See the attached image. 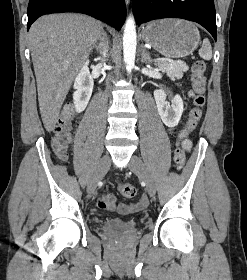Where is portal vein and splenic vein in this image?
<instances>
[{"label":"portal vein and splenic vein","mask_w":247,"mask_h":280,"mask_svg":"<svg viewBox=\"0 0 247 280\" xmlns=\"http://www.w3.org/2000/svg\"><path fill=\"white\" fill-rule=\"evenodd\" d=\"M166 60H168V59L167 58L158 59V61H161V62L166 61Z\"/></svg>","instance_id":"portal-vein-and-splenic-vein-1"}]
</instances>
